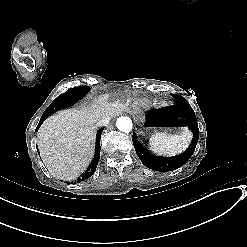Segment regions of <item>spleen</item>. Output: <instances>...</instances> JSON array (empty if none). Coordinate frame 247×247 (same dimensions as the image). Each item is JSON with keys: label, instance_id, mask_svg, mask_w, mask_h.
<instances>
[{"label": "spleen", "instance_id": "spleen-1", "mask_svg": "<svg viewBox=\"0 0 247 247\" xmlns=\"http://www.w3.org/2000/svg\"><path fill=\"white\" fill-rule=\"evenodd\" d=\"M193 138V134L184 131L179 135L156 133L149 139L150 150L157 155L175 156L185 151Z\"/></svg>", "mask_w": 247, "mask_h": 247}]
</instances>
